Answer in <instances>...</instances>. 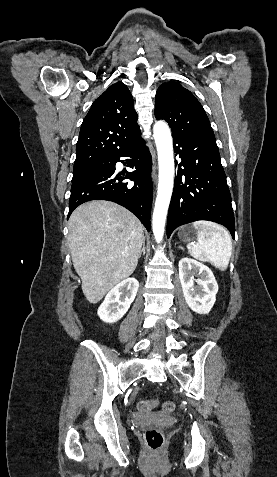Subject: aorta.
Wrapping results in <instances>:
<instances>
[{"label":"aorta","instance_id":"aorta-1","mask_svg":"<svg viewBox=\"0 0 277 477\" xmlns=\"http://www.w3.org/2000/svg\"><path fill=\"white\" fill-rule=\"evenodd\" d=\"M153 132L158 152L159 183L152 228L156 241L160 242L164 235L167 211L173 191L174 158L172 137L168 125L163 121H158L154 124Z\"/></svg>","mask_w":277,"mask_h":477}]
</instances>
